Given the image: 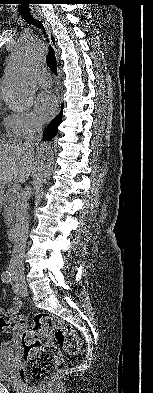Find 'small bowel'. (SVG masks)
<instances>
[{
  "instance_id": "c3829d8e",
  "label": "small bowel",
  "mask_w": 153,
  "mask_h": 393,
  "mask_svg": "<svg viewBox=\"0 0 153 393\" xmlns=\"http://www.w3.org/2000/svg\"><path fill=\"white\" fill-rule=\"evenodd\" d=\"M21 305H22V301H21L20 297H17V296L13 297L12 298V307L4 308V307L0 306V317L11 316V315L16 314L19 311Z\"/></svg>"
}]
</instances>
